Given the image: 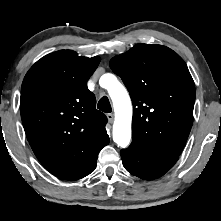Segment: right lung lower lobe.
I'll list each match as a JSON object with an SVG mask.
<instances>
[{
  "label": "right lung lower lobe",
  "mask_w": 221,
  "mask_h": 221,
  "mask_svg": "<svg viewBox=\"0 0 221 221\" xmlns=\"http://www.w3.org/2000/svg\"><path fill=\"white\" fill-rule=\"evenodd\" d=\"M98 153L92 158V160L88 163V165L77 176H75L71 180H78L92 173L96 168V161H97Z\"/></svg>",
  "instance_id": "98d812e1"
}]
</instances>
